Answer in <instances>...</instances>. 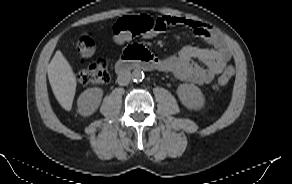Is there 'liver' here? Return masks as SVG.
I'll return each mask as SVG.
<instances>
[{
  "label": "liver",
  "mask_w": 292,
  "mask_h": 184,
  "mask_svg": "<svg viewBox=\"0 0 292 184\" xmlns=\"http://www.w3.org/2000/svg\"><path fill=\"white\" fill-rule=\"evenodd\" d=\"M47 73L57 101L65 110L70 111L77 83L72 67L61 51H56L48 65Z\"/></svg>",
  "instance_id": "1"
}]
</instances>
